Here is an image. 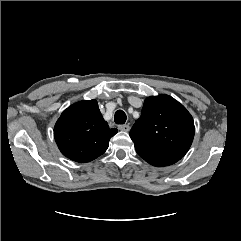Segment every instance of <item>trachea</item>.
<instances>
[{
  "instance_id": "3493384b",
  "label": "trachea",
  "mask_w": 241,
  "mask_h": 241,
  "mask_svg": "<svg viewBox=\"0 0 241 241\" xmlns=\"http://www.w3.org/2000/svg\"><path fill=\"white\" fill-rule=\"evenodd\" d=\"M114 121L116 124H124L126 122V114L122 110L115 112Z\"/></svg>"
}]
</instances>
